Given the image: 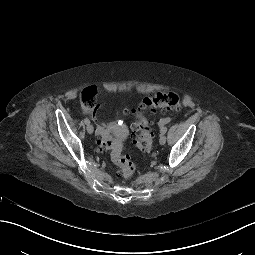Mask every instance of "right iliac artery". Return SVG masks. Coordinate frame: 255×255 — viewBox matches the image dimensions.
I'll list each match as a JSON object with an SVG mask.
<instances>
[{
    "mask_svg": "<svg viewBox=\"0 0 255 255\" xmlns=\"http://www.w3.org/2000/svg\"><path fill=\"white\" fill-rule=\"evenodd\" d=\"M84 123H85L86 125L90 124L89 119L85 118V119H84Z\"/></svg>",
    "mask_w": 255,
    "mask_h": 255,
    "instance_id": "82829eb1",
    "label": "right iliac artery"
}]
</instances>
